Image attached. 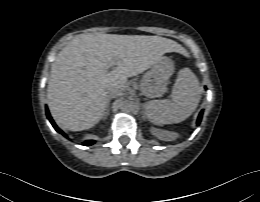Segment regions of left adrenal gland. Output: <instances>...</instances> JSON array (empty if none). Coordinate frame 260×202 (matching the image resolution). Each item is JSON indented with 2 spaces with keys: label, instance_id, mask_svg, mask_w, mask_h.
<instances>
[{
  "label": "left adrenal gland",
  "instance_id": "1",
  "mask_svg": "<svg viewBox=\"0 0 260 202\" xmlns=\"http://www.w3.org/2000/svg\"><path fill=\"white\" fill-rule=\"evenodd\" d=\"M142 115H143L142 117H143L144 119H146V118H147V116H146V113H145V111H144V110L142 111Z\"/></svg>",
  "mask_w": 260,
  "mask_h": 202
}]
</instances>
